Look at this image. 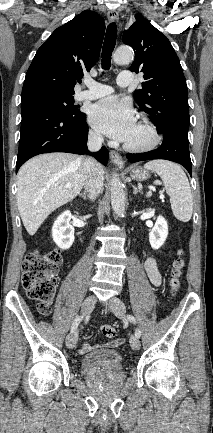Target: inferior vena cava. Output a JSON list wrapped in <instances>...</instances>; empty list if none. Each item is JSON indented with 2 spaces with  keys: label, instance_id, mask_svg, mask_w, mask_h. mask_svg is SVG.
<instances>
[{
  "label": "inferior vena cava",
  "instance_id": "1",
  "mask_svg": "<svg viewBox=\"0 0 213 433\" xmlns=\"http://www.w3.org/2000/svg\"><path fill=\"white\" fill-rule=\"evenodd\" d=\"M104 139L101 135L91 132L88 137V148L91 151H98ZM104 176L100 170L99 163L93 158L86 159V177L84 187L88 193V197L92 200L103 191L104 189Z\"/></svg>",
  "mask_w": 213,
  "mask_h": 433
}]
</instances>
